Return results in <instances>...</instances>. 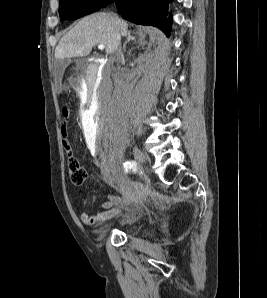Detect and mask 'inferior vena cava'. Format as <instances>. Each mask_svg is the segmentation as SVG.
I'll return each mask as SVG.
<instances>
[{
    "label": "inferior vena cava",
    "instance_id": "602c4592",
    "mask_svg": "<svg viewBox=\"0 0 267 298\" xmlns=\"http://www.w3.org/2000/svg\"><path fill=\"white\" fill-rule=\"evenodd\" d=\"M115 54H116L117 57H122L121 49L118 48V49L116 50Z\"/></svg>",
    "mask_w": 267,
    "mask_h": 298
}]
</instances>
